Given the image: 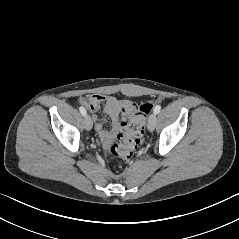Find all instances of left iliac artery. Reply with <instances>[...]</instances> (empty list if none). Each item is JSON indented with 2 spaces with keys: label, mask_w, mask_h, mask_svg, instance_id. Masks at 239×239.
Here are the masks:
<instances>
[{
  "label": "left iliac artery",
  "mask_w": 239,
  "mask_h": 239,
  "mask_svg": "<svg viewBox=\"0 0 239 239\" xmlns=\"http://www.w3.org/2000/svg\"><path fill=\"white\" fill-rule=\"evenodd\" d=\"M161 110V105H157L155 108H154V113L155 114H158Z\"/></svg>",
  "instance_id": "left-iliac-artery-1"
}]
</instances>
